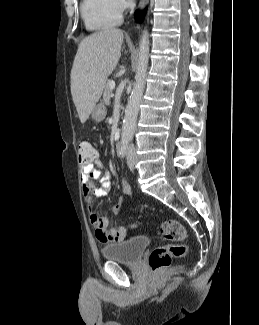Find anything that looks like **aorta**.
I'll return each instance as SVG.
<instances>
[{
    "instance_id": "aorta-1",
    "label": "aorta",
    "mask_w": 259,
    "mask_h": 325,
    "mask_svg": "<svg viewBox=\"0 0 259 325\" xmlns=\"http://www.w3.org/2000/svg\"><path fill=\"white\" fill-rule=\"evenodd\" d=\"M149 62V34L144 30L139 43L135 84L129 97L122 125V140L129 142L134 136L140 102L145 88Z\"/></svg>"
}]
</instances>
